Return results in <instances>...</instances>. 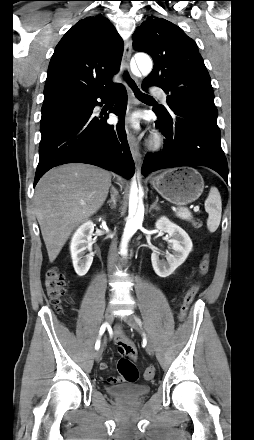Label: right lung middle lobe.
I'll return each mask as SVG.
<instances>
[{
	"mask_svg": "<svg viewBox=\"0 0 254 440\" xmlns=\"http://www.w3.org/2000/svg\"><path fill=\"white\" fill-rule=\"evenodd\" d=\"M78 104L79 101L72 94H60L45 99L41 109V133L45 131L47 124L61 116L68 107H74Z\"/></svg>",
	"mask_w": 254,
	"mask_h": 440,
	"instance_id": "1",
	"label": "right lung middle lobe"
}]
</instances>
